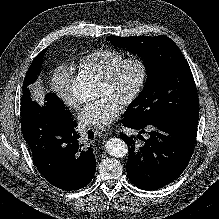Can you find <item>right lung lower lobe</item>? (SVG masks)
I'll use <instances>...</instances> for the list:
<instances>
[{"mask_svg": "<svg viewBox=\"0 0 219 219\" xmlns=\"http://www.w3.org/2000/svg\"><path fill=\"white\" fill-rule=\"evenodd\" d=\"M21 130L33 161L45 179L63 190H78L94 177L95 158L76 131V122L47 105L32 101L28 88L21 98ZM94 137L88 132V139Z\"/></svg>", "mask_w": 219, "mask_h": 219, "instance_id": "98d812e1", "label": "right lung lower lobe"}]
</instances>
